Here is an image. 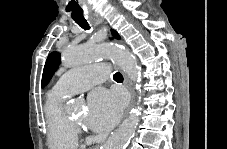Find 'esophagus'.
<instances>
[{"instance_id": "34e87169", "label": "esophagus", "mask_w": 227, "mask_h": 149, "mask_svg": "<svg viewBox=\"0 0 227 149\" xmlns=\"http://www.w3.org/2000/svg\"><path fill=\"white\" fill-rule=\"evenodd\" d=\"M99 23H100V24H103V23H104L103 18H100V19H99ZM123 76H124V83H125L127 89H128L129 92H130L131 100H130V105H129L128 110H127V111H124V114L121 115V118H122V119H128L129 111H130V109L133 107V105H134V103H135V93H134V89H133L132 83H131V81L129 80V78H128L124 73H123Z\"/></svg>"}]
</instances>
